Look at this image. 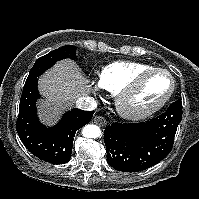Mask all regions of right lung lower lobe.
<instances>
[{
  "instance_id": "1",
  "label": "right lung lower lobe",
  "mask_w": 199,
  "mask_h": 199,
  "mask_svg": "<svg viewBox=\"0 0 199 199\" xmlns=\"http://www.w3.org/2000/svg\"><path fill=\"white\" fill-rule=\"evenodd\" d=\"M53 65L49 62L32 67L20 98L16 130L33 155L52 164H64L71 158L76 131L90 122L94 111L73 109L56 126L50 128L39 122L36 109V100L40 97L38 77Z\"/></svg>"
}]
</instances>
